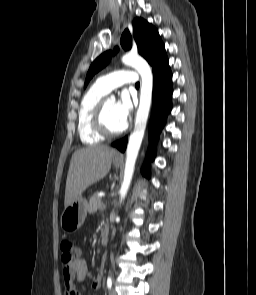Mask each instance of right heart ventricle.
Masks as SVG:
<instances>
[{"instance_id":"e07e8e85","label":"right heart ventricle","mask_w":256,"mask_h":295,"mask_svg":"<svg viewBox=\"0 0 256 295\" xmlns=\"http://www.w3.org/2000/svg\"><path fill=\"white\" fill-rule=\"evenodd\" d=\"M106 94L95 84L81 100L78 112V133L84 144L94 145L101 142L104 138L93 127V112Z\"/></svg>"}]
</instances>
